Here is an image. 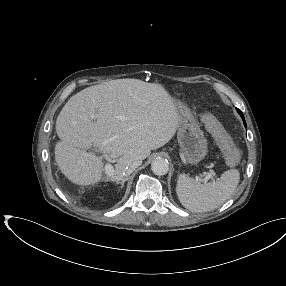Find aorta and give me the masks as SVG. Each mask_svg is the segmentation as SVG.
I'll return each instance as SVG.
<instances>
[{
    "label": "aorta",
    "mask_w": 286,
    "mask_h": 286,
    "mask_svg": "<svg viewBox=\"0 0 286 286\" xmlns=\"http://www.w3.org/2000/svg\"><path fill=\"white\" fill-rule=\"evenodd\" d=\"M151 169L156 175H165L169 170V163L164 158H157L151 163Z\"/></svg>",
    "instance_id": "aorta-1"
}]
</instances>
